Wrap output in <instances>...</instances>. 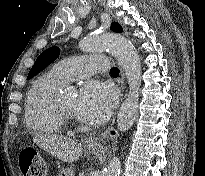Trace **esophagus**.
<instances>
[{
  "label": "esophagus",
  "instance_id": "esophagus-1",
  "mask_svg": "<svg viewBox=\"0 0 205 176\" xmlns=\"http://www.w3.org/2000/svg\"><path fill=\"white\" fill-rule=\"evenodd\" d=\"M124 88H125V80H124V73L121 70V77H120V91L122 93V97H123V92H124ZM115 119L116 117H114L111 121V124L108 126V128L106 130H104L102 133L94 136L93 138H91L88 141V147H101L103 141L106 139V137L108 136V132L110 130V128L113 126V124L115 123Z\"/></svg>",
  "mask_w": 205,
  "mask_h": 176
}]
</instances>
